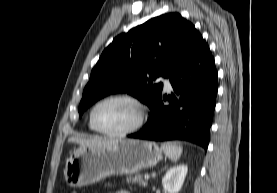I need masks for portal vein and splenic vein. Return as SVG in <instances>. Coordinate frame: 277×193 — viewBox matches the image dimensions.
Here are the masks:
<instances>
[{
	"label": "portal vein and splenic vein",
	"mask_w": 277,
	"mask_h": 193,
	"mask_svg": "<svg viewBox=\"0 0 277 193\" xmlns=\"http://www.w3.org/2000/svg\"><path fill=\"white\" fill-rule=\"evenodd\" d=\"M144 178H145L146 180H148V179H149V175L146 174V175L144 176Z\"/></svg>",
	"instance_id": "obj_1"
}]
</instances>
